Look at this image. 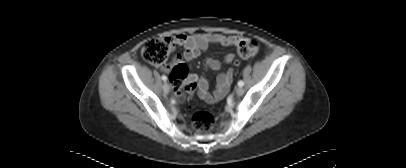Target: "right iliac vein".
Masks as SVG:
<instances>
[{
    "mask_svg": "<svg viewBox=\"0 0 406 168\" xmlns=\"http://www.w3.org/2000/svg\"><path fill=\"white\" fill-rule=\"evenodd\" d=\"M163 92H164V94H168L169 93V91H170V87H169V84L167 83V82H165L164 84H163Z\"/></svg>",
    "mask_w": 406,
    "mask_h": 168,
    "instance_id": "obj_1",
    "label": "right iliac vein"
}]
</instances>
